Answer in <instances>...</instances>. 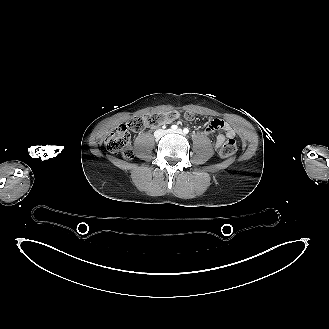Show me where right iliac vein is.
Segmentation results:
<instances>
[{"label": "right iliac vein", "mask_w": 329, "mask_h": 329, "mask_svg": "<svg viewBox=\"0 0 329 329\" xmlns=\"http://www.w3.org/2000/svg\"><path fill=\"white\" fill-rule=\"evenodd\" d=\"M169 132H170V130H166V131H165V130H159L157 134H158L159 136H162V135H164L165 133H169Z\"/></svg>", "instance_id": "63e3f726"}]
</instances>
